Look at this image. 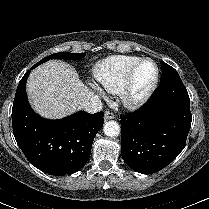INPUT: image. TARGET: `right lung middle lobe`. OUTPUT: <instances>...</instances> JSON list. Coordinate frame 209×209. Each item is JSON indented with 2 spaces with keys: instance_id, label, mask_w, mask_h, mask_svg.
Instances as JSON below:
<instances>
[{
  "instance_id": "dd1d6c3e",
  "label": "right lung middle lobe",
  "mask_w": 209,
  "mask_h": 209,
  "mask_svg": "<svg viewBox=\"0 0 209 209\" xmlns=\"http://www.w3.org/2000/svg\"><path fill=\"white\" fill-rule=\"evenodd\" d=\"M84 56V53H68V52H60V53H55V54H51L48 57H45L44 59H42L41 61H39L37 64H35L33 66V68L37 67L38 65L50 60V59H68V60H77L80 59Z\"/></svg>"
}]
</instances>
